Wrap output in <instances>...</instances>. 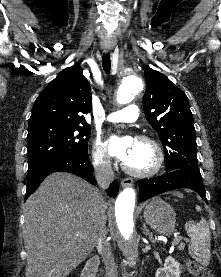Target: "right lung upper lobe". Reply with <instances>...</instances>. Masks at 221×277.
I'll use <instances>...</instances> for the list:
<instances>
[{
  "label": "right lung upper lobe",
  "mask_w": 221,
  "mask_h": 277,
  "mask_svg": "<svg viewBox=\"0 0 221 277\" xmlns=\"http://www.w3.org/2000/svg\"><path fill=\"white\" fill-rule=\"evenodd\" d=\"M92 110V95L82 68L75 64L62 70L36 99L29 125H87L84 114Z\"/></svg>",
  "instance_id": "cb5924a9"
}]
</instances>
